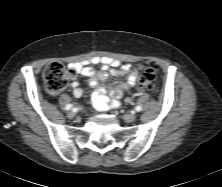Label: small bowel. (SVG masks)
Instances as JSON below:
<instances>
[{"label":"small bowel","mask_w":222,"mask_h":187,"mask_svg":"<svg viewBox=\"0 0 222 187\" xmlns=\"http://www.w3.org/2000/svg\"><path fill=\"white\" fill-rule=\"evenodd\" d=\"M102 65L97 70L91 65ZM69 78L72 80L71 87L75 97L83 95V89L76 81L77 75L88 77L90 87L94 88L92 103L99 110H109L120 106V99L124 94H131L139 77V69L129 63H123L110 57H92L85 62L72 63L68 66ZM110 75L126 77V81L118 86L106 89L100 87V83L108 79Z\"/></svg>","instance_id":"small-bowel-1"}]
</instances>
